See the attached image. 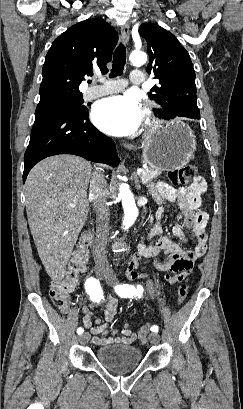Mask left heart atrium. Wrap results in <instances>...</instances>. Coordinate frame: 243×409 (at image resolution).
Here are the masks:
<instances>
[{"instance_id":"obj_1","label":"left heart atrium","mask_w":243,"mask_h":409,"mask_svg":"<svg viewBox=\"0 0 243 409\" xmlns=\"http://www.w3.org/2000/svg\"><path fill=\"white\" fill-rule=\"evenodd\" d=\"M92 118L103 132L126 136L139 129L145 119V111L137 96L126 94L99 101L94 107Z\"/></svg>"}]
</instances>
